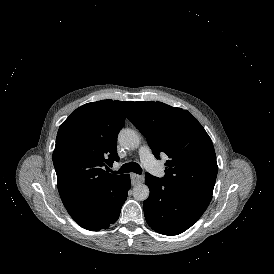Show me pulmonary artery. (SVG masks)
<instances>
[{
	"label": "pulmonary artery",
	"instance_id": "obj_1",
	"mask_svg": "<svg viewBox=\"0 0 274 274\" xmlns=\"http://www.w3.org/2000/svg\"><path fill=\"white\" fill-rule=\"evenodd\" d=\"M139 155L141 158V162L144 163L147 159V166L149 167L150 172L155 173L157 175H162L163 171L162 169H160L159 167H155L152 160H150L151 158H153L152 152L150 150V148L147 145H143L140 150H139Z\"/></svg>",
	"mask_w": 274,
	"mask_h": 274
}]
</instances>
